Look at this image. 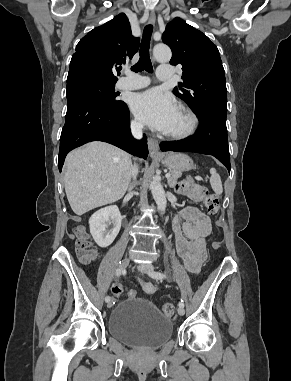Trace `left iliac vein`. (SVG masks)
Instances as JSON below:
<instances>
[{"label":"left iliac vein","instance_id":"left-iliac-vein-1","mask_svg":"<svg viewBox=\"0 0 291 381\" xmlns=\"http://www.w3.org/2000/svg\"><path fill=\"white\" fill-rule=\"evenodd\" d=\"M138 270L141 271L142 273L149 275L152 271H154V267L150 263L140 264L138 265ZM177 311H178V314L181 316L185 314V309L182 306H179Z\"/></svg>","mask_w":291,"mask_h":381}]
</instances>
